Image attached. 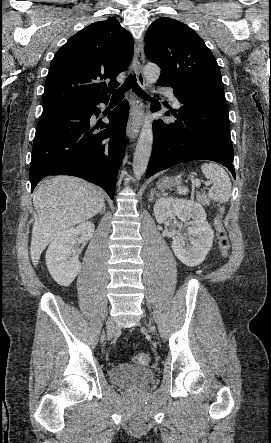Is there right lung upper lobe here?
<instances>
[{
	"instance_id": "1",
	"label": "right lung upper lobe",
	"mask_w": 271,
	"mask_h": 443,
	"mask_svg": "<svg viewBox=\"0 0 271 443\" xmlns=\"http://www.w3.org/2000/svg\"><path fill=\"white\" fill-rule=\"evenodd\" d=\"M134 40L115 18L90 24L55 54L49 68L43 104L109 99L133 57ZM110 80L108 88L98 80Z\"/></svg>"
}]
</instances>
